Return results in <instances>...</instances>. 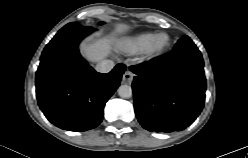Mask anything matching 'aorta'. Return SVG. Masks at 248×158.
<instances>
[{
	"label": "aorta",
	"instance_id": "obj_1",
	"mask_svg": "<svg viewBox=\"0 0 248 158\" xmlns=\"http://www.w3.org/2000/svg\"><path fill=\"white\" fill-rule=\"evenodd\" d=\"M118 95L122 98H129L132 96V88L129 85H121L118 88Z\"/></svg>",
	"mask_w": 248,
	"mask_h": 158
}]
</instances>
